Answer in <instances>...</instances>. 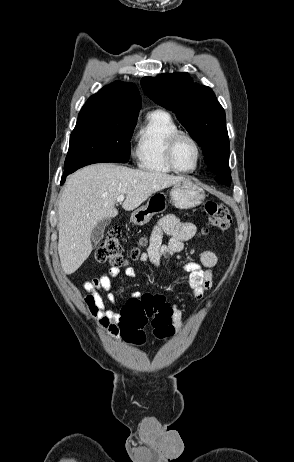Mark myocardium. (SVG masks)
I'll use <instances>...</instances> for the list:
<instances>
[{
    "label": "myocardium",
    "instance_id": "f54148a6",
    "mask_svg": "<svg viewBox=\"0 0 294 462\" xmlns=\"http://www.w3.org/2000/svg\"><path fill=\"white\" fill-rule=\"evenodd\" d=\"M181 139L189 140L196 149V154H197L196 164L192 169H189V170H184V169L179 168L174 159L175 147L178 141ZM165 157H166L167 164L173 171L177 173H182V174H190V173L195 172L200 166L201 159H202V149L198 141L192 135L179 130L173 133L169 137L167 144H166Z\"/></svg>",
    "mask_w": 294,
    "mask_h": 462
}]
</instances>
